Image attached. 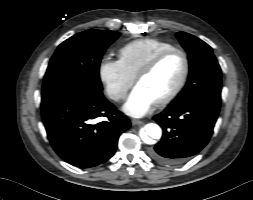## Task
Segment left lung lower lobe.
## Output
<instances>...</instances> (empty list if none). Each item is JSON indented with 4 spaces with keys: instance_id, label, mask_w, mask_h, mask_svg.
Wrapping results in <instances>:
<instances>
[{
    "instance_id": "1",
    "label": "left lung lower lobe",
    "mask_w": 253,
    "mask_h": 200,
    "mask_svg": "<svg viewBox=\"0 0 253 200\" xmlns=\"http://www.w3.org/2000/svg\"><path fill=\"white\" fill-rule=\"evenodd\" d=\"M221 104V97L202 95L188 103H171L153 119L163 129L162 139L149 152L163 164L176 165L199 153L208 143Z\"/></svg>"
}]
</instances>
